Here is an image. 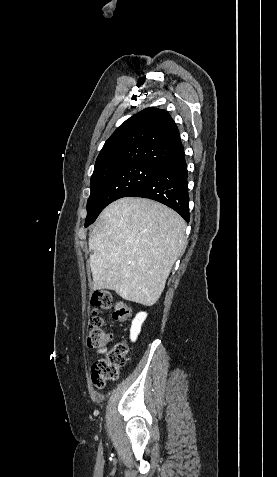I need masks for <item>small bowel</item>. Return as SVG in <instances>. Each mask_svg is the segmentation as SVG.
<instances>
[{
  "instance_id": "obj_1",
  "label": "small bowel",
  "mask_w": 277,
  "mask_h": 477,
  "mask_svg": "<svg viewBox=\"0 0 277 477\" xmlns=\"http://www.w3.org/2000/svg\"><path fill=\"white\" fill-rule=\"evenodd\" d=\"M96 352L99 353V354H104V353L107 352V348H105V347L98 348V349L96 350Z\"/></svg>"
}]
</instances>
